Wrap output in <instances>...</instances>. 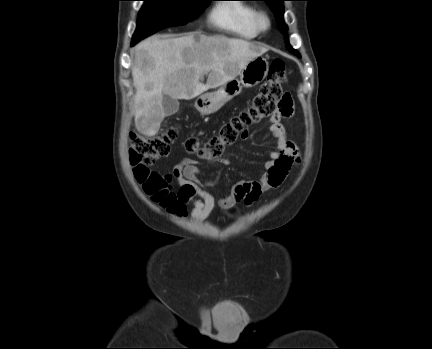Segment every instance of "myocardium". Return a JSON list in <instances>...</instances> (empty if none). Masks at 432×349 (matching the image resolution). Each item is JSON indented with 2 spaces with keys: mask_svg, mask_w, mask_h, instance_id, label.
Segmentation results:
<instances>
[{
  "mask_svg": "<svg viewBox=\"0 0 432 349\" xmlns=\"http://www.w3.org/2000/svg\"><path fill=\"white\" fill-rule=\"evenodd\" d=\"M255 25L259 32H265L271 27V18L266 11L259 10L255 15Z\"/></svg>",
  "mask_w": 432,
  "mask_h": 349,
  "instance_id": "f54148a6",
  "label": "myocardium"
}]
</instances>
